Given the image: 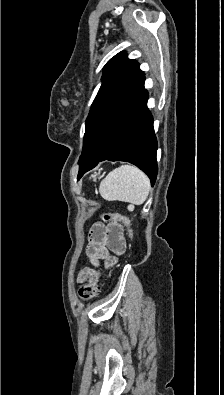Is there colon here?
Returning a JSON list of instances; mask_svg holds the SVG:
<instances>
[{
    "instance_id": "colon-1",
    "label": "colon",
    "mask_w": 224,
    "mask_h": 395,
    "mask_svg": "<svg viewBox=\"0 0 224 395\" xmlns=\"http://www.w3.org/2000/svg\"><path fill=\"white\" fill-rule=\"evenodd\" d=\"M102 219L109 223V227L114 233H117L118 228L121 225L126 226L127 236L129 238L131 237V231L128 228L129 222L125 217L115 213H103ZM100 277V271L96 269H90L88 271V280L83 283L78 290V294L81 299L87 301L94 298L98 294Z\"/></svg>"
}]
</instances>
